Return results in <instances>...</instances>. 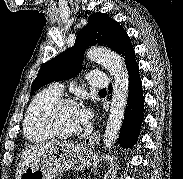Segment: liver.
Wrapping results in <instances>:
<instances>
[{"instance_id": "1", "label": "liver", "mask_w": 183, "mask_h": 179, "mask_svg": "<svg viewBox=\"0 0 183 179\" xmlns=\"http://www.w3.org/2000/svg\"><path fill=\"white\" fill-rule=\"evenodd\" d=\"M59 144V142H48L26 148L23 151L18 166L16 168L15 179H20L21 174L29 164L34 162L37 158L43 156L49 148Z\"/></svg>"}]
</instances>
